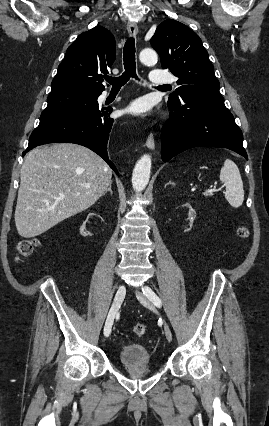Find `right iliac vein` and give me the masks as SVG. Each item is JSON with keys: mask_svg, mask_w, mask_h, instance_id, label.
Here are the masks:
<instances>
[{"mask_svg": "<svg viewBox=\"0 0 269 426\" xmlns=\"http://www.w3.org/2000/svg\"><path fill=\"white\" fill-rule=\"evenodd\" d=\"M125 293H126V288L124 285L119 286L116 294H115V298H114V302L112 304V307L108 313V316L106 318V322H105V326H104V335L105 336H109V334L111 333V328L114 322V318L115 315L125 297Z\"/></svg>", "mask_w": 269, "mask_h": 426, "instance_id": "obj_1", "label": "right iliac vein"}]
</instances>
